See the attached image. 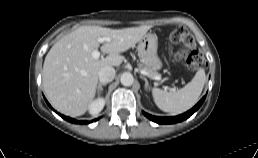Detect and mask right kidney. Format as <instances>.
Instances as JSON below:
<instances>
[{"mask_svg": "<svg viewBox=\"0 0 258 158\" xmlns=\"http://www.w3.org/2000/svg\"><path fill=\"white\" fill-rule=\"evenodd\" d=\"M105 101L103 98H98L93 101L89 106V112L92 115H97L104 107Z\"/></svg>", "mask_w": 258, "mask_h": 158, "instance_id": "right-kidney-1", "label": "right kidney"}]
</instances>
